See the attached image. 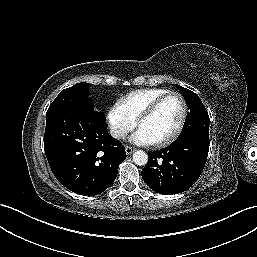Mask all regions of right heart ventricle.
I'll list each match as a JSON object with an SVG mask.
<instances>
[{"label":"right heart ventricle","instance_id":"e07e8e85","mask_svg":"<svg viewBox=\"0 0 257 257\" xmlns=\"http://www.w3.org/2000/svg\"><path fill=\"white\" fill-rule=\"evenodd\" d=\"M170 92L165 88H144L131 91L120 99L129 115L135 120L157 98Z\"/></svg>","mask_w":257,"mask_h":257}]
</instances>
